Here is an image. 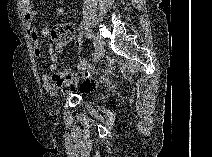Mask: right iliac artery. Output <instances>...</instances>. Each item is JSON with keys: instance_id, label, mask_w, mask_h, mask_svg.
<instances>
[{"instance_id": "right-iliac-artery-1", "label": "right iliac artery", "mask_w": 212, "mask_h": 157, "mask_svg": "<svg viewBox=\"0 0 212 157\" xmlns=\"http://www.w3.org/2000/svg\"><path fill=\"white\" fill-rule=\"evenodd\" d=\"M83 36H85L86 38H88V39H90V40L93 38L92 34H90V33H83V34H81V35H80V39H81Z\"/></svg>"}]
</instances>
